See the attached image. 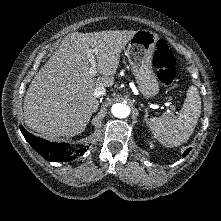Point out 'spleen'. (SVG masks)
Listing matches in <instances>:
<instances>
[{"instance_id":"spleen-1","label":"spleen","mask_w":221,"mask_h":221,"mask_svg":"<svg viewBox=\"0 0 221 221\" xmlns=\"http://www.w3.org/2000/svg\"><path fill=\"white\" fill-rule=\"evenodd\" d=\"M201 113V98L196 87L191 86L187 97L176 117H153L149 128L162 145L177 147L186 142L192 135Z\"/></svg>"}]
</instances>
